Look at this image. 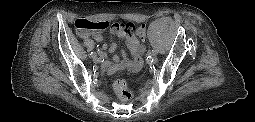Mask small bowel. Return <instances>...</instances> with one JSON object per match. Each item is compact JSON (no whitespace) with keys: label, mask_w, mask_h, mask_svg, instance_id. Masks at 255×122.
Wrapping results in <instances>:
<instances>
[{"label":"small bowel","mask_w":255,"mask_h":122,"mask_svg":"<svg viewBox=\"0 0 255 122\" xmlns=\"http://www.w3.org/2000/svg\"><path fill=\"white\" fill-rule=\"evenodd\" d=\"M110 33L116 34L120 38L127 39V46L131 52L132 59L129 60L125 52H122L120 56H115L111 61H105L103 64V69L107 73H115L124 70L130 72H136L141 68L142 65V55L145 51L144 45L133 33H128L124 29H111ZM84 38H91L96 42H101L103 40L102 34L98 31L90 32L89 34L83 36ZM143 39V38H141ZM107 45H104V49ZM117 48V44L113 42L109 46V51L114 52Z\"/></svg>","instance_id":"small-bowel-1"}]
</instances>
